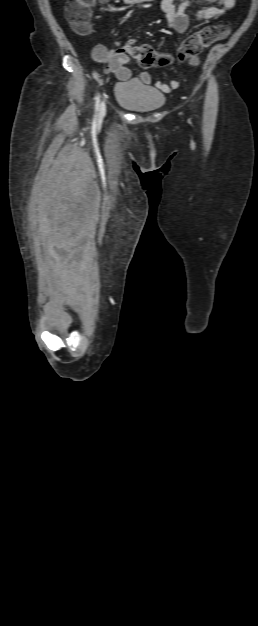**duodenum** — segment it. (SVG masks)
<instances>
[{
	"label": "duodenum",
	"mask_w": 258,
	"mask_h": 626,
	"mask_svg": "<svg viewBox=\"0 0 258 626\" xmlns=\"http://www.w3.org/2000/svg\"><path fill=\"white\" fill-rule=\"evenodd\" d=\"M125 3H137V2H145L151 0H123Z\"/></svg>",
	"instance_id": "obj_1"
}]
</instances>
